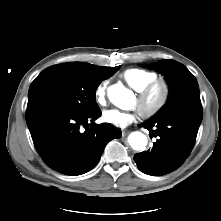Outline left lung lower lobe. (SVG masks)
Returning <instances> with one entry per match:
<instances>
[{
	"label": "left lung lower lobe",
	"instance_id": "obj_1",
	"mask_svg": "<svg viewBox=\"0 0 221 221\" xmlns=\"http://www.w3.org/2000/svg\"><path fill=\"white\" fill-rule=\"evenodd\" d=\"M202 105L149 119L140 126L158 137L152 149L137 153L134 160L145 174L161 176L180 167L189 156L202 121ZM155 127L153 130L152 128Z\"/></svg>",
	"mask_w": 221,
	"mask_h": 221
}]
</instances>
